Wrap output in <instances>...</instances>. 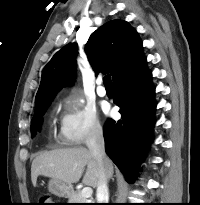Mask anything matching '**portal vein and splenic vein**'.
Masks as SVG:
<instances>
[{"mask_svg": "<svg viewBox=\"0 0 200 205\" xmlns=\"http://www.w3.org/2000/svg\"><path fill=\"white\" fill-rule=\"evenodd\" d=\"M92 193H93V190L91 187H84L82 190H81V195L82 197L88 199L92 196Z\"/></svg>", "mask_w": 200, "mask_h": 205, "instance_id": "18ae733b", "label": "portal vein and splenic vein"}]
</instances>
